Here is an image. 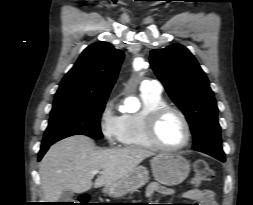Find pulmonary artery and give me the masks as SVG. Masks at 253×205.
<instances>
[{
	"instance_id": "pulmonary-artery-1",
	"label": "pulmonary artery",
	"mask_w": 253,
	"mask_h": 205,
	"mask_svg": "<svg viewBox=\"0 0 253 205\" xmlns=\"http://www.w3.org/2000/svg\"><path fill=\"white\" fill-rule=\"evenodd\" d=\"M140 90L145 92L161 93L162 85L156 80H144L140 85Z\"/></svg>"
}]
</instances>
